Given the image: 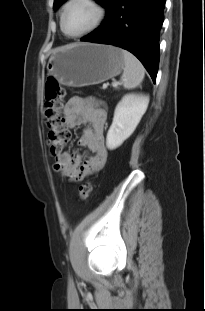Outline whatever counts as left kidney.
I'll list each match as a JSON object with an SVG mask.
<instances>
[{
  "instance_id": "left-kidney-1",
  "label": "left kidney",
  "mask_w": 205,
  "mask_h": 311,
  "mask_svg": "<svg viewBox=\"0 0 205 311\" xmlns=\"http://www.w3.org/2000/svg\"><path fill=\"white\" fill-rule=\"evenodd\" d=\"M149 97L126 95L116 106L112 125L107 133L106 145L113 150L129 138L147 110Z\"/></svg>"
}]
</instances>
